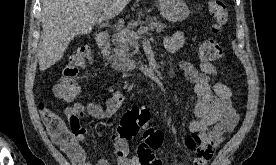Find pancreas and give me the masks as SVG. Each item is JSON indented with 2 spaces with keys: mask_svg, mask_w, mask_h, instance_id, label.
<instances>
[{
  "mask_svg": "<svg viewBox=\"0 0 276 165\" xmlns=\"http://www.w3.org/2000/svg\"><path fill=\"white\" fill-rule=\"evenodd\" d=\"M148 25L152 31L162 32L167 26L158 21L157 17H147L145 21H142L140 17L137 20H132L128 23L127 27L123 31H133L137 26ZM116 42L115 48L107 51L106 56L111 61L112 67L117 71H131L135 68V62L131 59L133 53L130 51V45L133 40L126 37L124 34L117 33L114 35Z\"/></svg>",
  "mask_w": 276,
  "mask_h": 165,
  "instance_id": "pancreas-1",
  "label": "pancreas"
}]
</instances>
